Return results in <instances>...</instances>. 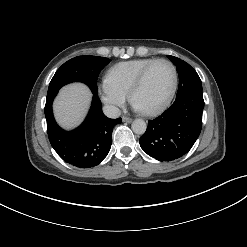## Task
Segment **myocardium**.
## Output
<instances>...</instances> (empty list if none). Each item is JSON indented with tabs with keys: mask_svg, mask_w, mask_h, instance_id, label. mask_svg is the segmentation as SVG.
I'll use <instances>...</instances> for the list:
<instances>
[{
	"mask_svg": "<svg viewBox=\"0 0 247 247\" xmlns=\"http://www.w3.org/2000/svg\"><path fill=\"white\" fill-rule=\"evenodd\" d=\"M161 62L167 63L172 69V72H173L172 87H171V90H170L167 98L159 106H157L156 108H153L151 110H145V111L142 110L141 111L145 115H156V114L162 112L163 110H165L168 107V105L170 104V102L172 101V99L176 93L177 87H178V71H177L175 64L168 59L159 58V59L154 60L149 65H147L141 71V73L138 75V77L136 78V80L134 81V83L132 84V86L129 90L130 101L134 104V96H135L136 92L138 91V89L143 85L148 73L156 64L161 63Z\"/></svg>",
	"mask_w": 247,
	"mask_h": 247,
	"instance_id": "obj_1",
	"label": "myocardium"
}]
</instances>
